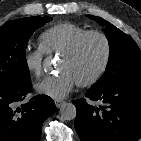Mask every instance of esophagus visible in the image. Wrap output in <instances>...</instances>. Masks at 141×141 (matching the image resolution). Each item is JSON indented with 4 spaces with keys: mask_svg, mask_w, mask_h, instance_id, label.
<instances>
[{
    "mask_svg": "<svg viewBox=\"0 0 141 141\" xmlns=\"http://www.w3.org/2000/svg\"><path fill=\"white\" fill-rule=\"evenodd\" d=\"M54 102L57 108H60L65 104V101L63 100H55Z\"/></svg>",
    "mask_w": 141,
    "mask_h": 141,
    "instance_id": "1",
    "label": "esophagus"
}]
</instances>
